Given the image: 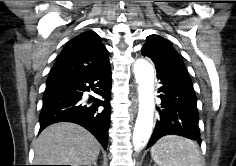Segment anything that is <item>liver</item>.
<instances>
[{
    "instance_id": "6515ba94",
    "label": "liver",
    "mask_w": 236,
    "mask_h": 166,
    "mask_svg": "<svg viewBox=\"0 0 236 166\" xmlns=\"http://www.w3.org/2000/svg\"><path fill=\"white\" fill-rule=\"evenodd\" d=\"M36 165H91L100 153V144L83 127L59 122L45 128L34 145Z\"/></svg>"
}]
</instances>
